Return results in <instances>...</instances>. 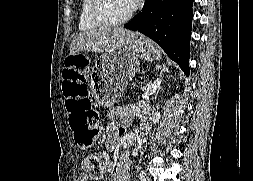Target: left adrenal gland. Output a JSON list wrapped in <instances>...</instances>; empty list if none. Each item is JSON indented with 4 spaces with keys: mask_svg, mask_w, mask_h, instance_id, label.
Listing matches in <instances>:
<instances>
[{
    "mask_svg": "<svg viewBox=\"0 0 253 181\" xmlns=\"http://www.w3.org/2000/svg\"><path fill=\"white\" fill-rule=\"evenodd\" d=\"M168 71V69H165V68H163V69H161V71ZM158 81V80H157ZM161 89V85H159L158 86V88H157V91H156V94L159 92V90Z\"/></svg>",
    "mask_w": 253,
    "mask_h": 181,
    "instance_id": "obj_1",
    "label": "left adrenal gland"
}]
</instances>
